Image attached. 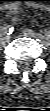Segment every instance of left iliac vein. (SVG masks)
Returning a JSON list of instances; mask_svg holds the SVG:
<instances>
[{
	"label": "left iliac vein",
	"mask_w": 50,
	"mask_h": 111,
	"mask_svg": "<svg viewBox=\"0 0 50 111\" xmlns=\"http://www.w3.org/2000/svg\"><path fill=\"white\" fill-rule=\"evenodd\" d=\"M23 34L24 35H27V36H31V37H33V38H39V36H38V34L37 33H35L33 30H31V29H24L23 30ZM42 45L43 46H47V43L46 42H42Z\"/></svg>",
	"instance_id": "1"
}]
</instances>
